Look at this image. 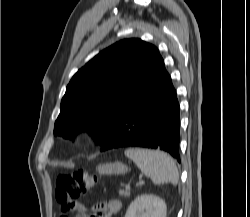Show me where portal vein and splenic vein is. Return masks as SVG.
Listing matches in <instances>:
<instances>
[{"mask_svg": "<svg viewBox=\"0 0 250 217\" xmlns=\"http://www.w3.org/2000/svg\"><path fill=\"white\" fill-rule=\"evenodd\" d=\"M144 183H145L144 180H141L139 183H137V186H138V185H142V184H144ZM126 188L129 189L130 186L128 185V186H126Z\"/></svg>", "mask_w": 250, "mask_h": 217, "instance_id": "portal-vein-and-splenic-vein-1", "label": "portal vein and splenic vein"}]
</instances>
